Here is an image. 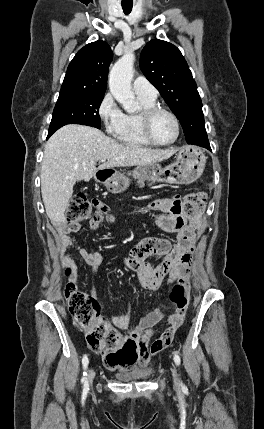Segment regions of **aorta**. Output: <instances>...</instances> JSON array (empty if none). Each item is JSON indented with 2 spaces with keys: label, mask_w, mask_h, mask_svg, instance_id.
<instances>
[{
  "label": "aorta",
  "mask_w": 264,
  "mask_h": 429,
  "mask_svg": "<svg viewBox=\"0 0 264 429\" xmlns=\"http://www.w3.org/2000/svg\"><path fill=\"white\" fill-rule=\"evenodd\" d=\"M134 60V54L126 52L113 65L109 74L110 92L127 112H133L137 106L134 92L131 89Z\"/></svg>",
  "instance_id": "obj_1"
}]
</instances>
